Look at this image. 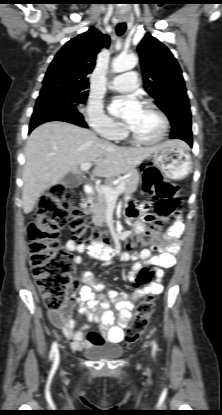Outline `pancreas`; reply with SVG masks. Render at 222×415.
<instances>
[{
	"label": "pancreas",
	"instance_id": "obj_1",
	"mask_svg": "<svg viewBox=\"0 0 222 415\" xmlns=\"http://www.w3.org/2000/svg\"><path fill=\"white\" fill-rule=\"evenodd\" d=\"M140 180V176L136 170L131 171L130 175L121 180L120 183H125V189L123 194L126 196L131 195L137 190V186ZM108 186L112 189H115L116 186L112 183H109ZM108 209V202L106 196L101 191L98 193L97 202L93 208V222L97 225H103L106 222V213Z\"/></svg>",
	"mask_w": 222,
	"mask_h": 415
}]
</instances>
